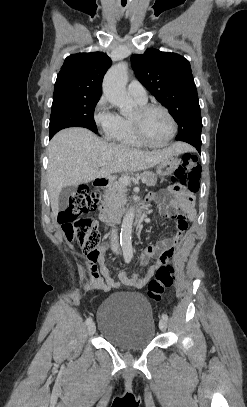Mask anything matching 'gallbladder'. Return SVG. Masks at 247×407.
<instances>
[{"mask_svg":"<svg viewBox=\"0 0 247 407\" xmlns=\"http://www.w3.org/2000/svg\"><path fill=\"white\" fill-rule=\"evenodd\" d=\"M75 192H76V186H67L61 190V192L59 194V198H58V206H59L60 210H64L67 208L69 198L73 194H75Z\"/></svg>","mask_w":247,"mask_h":407,"instance_id":"1","label":"gallbladder"}]
</instances>
